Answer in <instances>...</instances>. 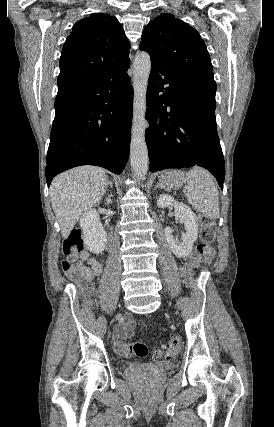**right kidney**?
<instances>
[{
  "mask_svg": "<svg viewBox=\"0 0 274 427\" xmlns=\"http://www.w3.org/2000/svg\"><path fill=\"white\" fill-rule=\"evenodd\" d=\"M106 204H112V200L108 198ZM80 227L86 249H89L92 253H101L107 243V231H104L96 210H88V212L81 215Z\"/></svg>",
  "mask_w": 274,
  "mask_h": 427,
  "instance_id": "obj_1",
  "label": "right kidney"
}]
</instances>
